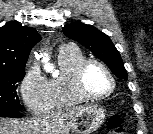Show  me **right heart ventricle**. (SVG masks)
<instances>
[{
	"mask_svg": "<svg viewBox=\"0 0 153 134\" xmlns=\"http://www.w3.org/2000/svg\"><path fill=\"white\" fill-rule=\"evenodd\" d=\"M84 59L83 53L74 46L59 51L57 62L60 74L48 80L49 110L68 108L85 101L76 94L73 85V73Z\"/></svg>",
	"mask_w": 153,
	"mask_h": 134,
	"instance_id": "1",
	"label": "right heart ventricle"
}]
</instances>
